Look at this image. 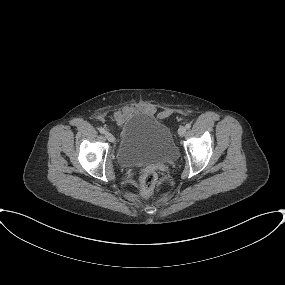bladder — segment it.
Listing matches in <instances>:
<instances>
[{"instance_id": "1", "label": "bladder", "mask_w": 285, "mask_h": 285, "mask_svg": "<svg viewBox=\"0 0 285 285\" xmlns=\"http://www.w3.org/2000/svg\"><path fill=\"white\" fill-rule=\"evenodd\" d=\"M178 155L170 128L154 115L137 111L123 124L118 148V161L122 166L172 163Z\"/></svg>"}]
</instances>
